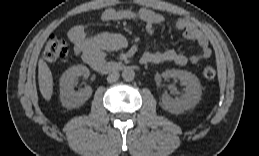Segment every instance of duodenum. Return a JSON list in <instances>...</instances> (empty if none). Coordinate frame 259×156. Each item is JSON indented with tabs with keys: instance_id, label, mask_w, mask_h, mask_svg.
Segmentation results:
<instances>
[{
	"instance_id": "1",
	"label": "duodenum",
	"mask_w": 259,
	"mask_h": 156,
	"mask_svg": "<svg viewBox=\"0 0 259 156\" xmlns=\"http://www.w3.org/2000/svg\"><path fill=\"white\" fill-rule=\"evenodd\" d=\"M93 68L100 73H112L123 71L128 68H136L135 66H127L121 62H98L94 64Z\"/></svg>"
}]
</instances>
